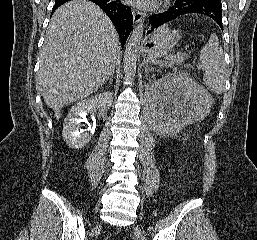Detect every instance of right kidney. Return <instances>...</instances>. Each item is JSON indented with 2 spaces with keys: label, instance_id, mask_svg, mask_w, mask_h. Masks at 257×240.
Wrapping results in <instances>:
<instances>
[{
  "label": "right kidney",
  "instance_id": "obj_1",
  "mask_svg": "<svg viewBox=\"0 0 257 240\" xmlns=\"http://www.w3.org/2000/svg\"><path fill=\"white\" fill-rule=\"evenodd\" d=\"M113 102V94L104 92L92 98L81 100L76 103L69 111L63 123V139L66 144L74 149L84 147L91 139L93 128L81 129L83 123H86L88 112L93 113L96 108L101 111H107Z\"/></svg>",
  "mask_w": 257,
  "mask_h": 240
}]
</instances>
